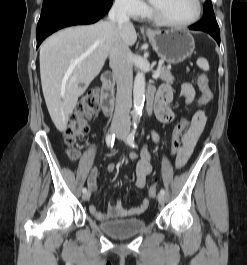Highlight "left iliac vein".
<instances>
[{
    "mask_svg": "<svg viewBox=\"0 0 247 265\" xmlns=\"http://www.w3.org/2000/svg\"><path fill=\"white\" fill-rule=\"evenodd\" d=\"M127 134H128V130H126V129L121 130V132L118 133V139L120 141H125L126 137H127ZM158 201H159L160 204H164L165 203V195L160 193L158 195Z\"/></svg>",
    "mask_w": 247,
    "mask_h": 265,
    "instance_id": "obj_1",
    "label": "left iliac vein"
}]
</instances>
